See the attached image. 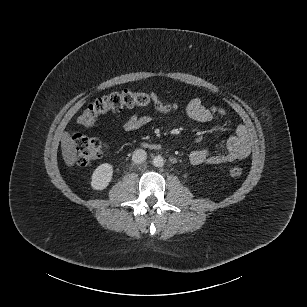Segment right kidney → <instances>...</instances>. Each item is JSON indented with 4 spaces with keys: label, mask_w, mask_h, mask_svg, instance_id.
Masks as SVG:
<instances>
[{
    "label": "right kidney",
    "mask_w": 307,
    "mask_h": 307,
    "mask_svg": "<svg viewBox=\"0 0 307 307\" xmlns=\"http://www.w3.org/2000/svg\"><path fill=\"white\" fill-rule=\"evenodd\" d=\"M113 178V166L110 163L99 165L92 174L90 187L93 191H103L108 188Z\"/></svg>",
    "instance_id": "obj_1"
}]
</instances>
